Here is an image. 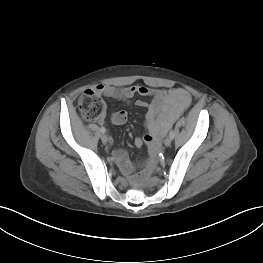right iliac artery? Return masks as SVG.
<instances>
[{
    "mask_svg": "<svg viewBox=\"0 0 263 263\" xmlns=\"http://www.w3.org/2000/svg\"><path fill=\"white\" fill-rule=\"evenodd\" d=\"M100 131H101L102 133H105V132H106V129H105L104 127H101Z\"/></svg>",
    "mask_w": 263,
    "mask_h": 263,
    "instance_id": "obj_1",
    "label": "right iliac artery"
}]
</instances>
